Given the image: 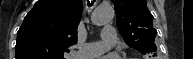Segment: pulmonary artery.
Wrapping results in <instances>:
<instances>
[{
	"instance_id": "obj_1",
	"label": "pulmonary artery",
	"mask_w": 193,
	"mask_h": 59,
	"mask_svg": "<svg viewBox=\"0 0 193 59\" xmlns=\"http://www.w3.org/2000/svg\"><path fill=\"white\" fill-rule=\"evenodd\" d=\"M102 41L88 43L77 50L74 55L75 59H92L108 49L111 44L118 41V36L113 27L105 26L102 29Z\"/></svg>"
}]
</instances>
